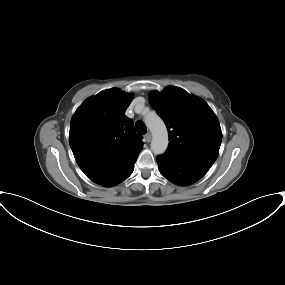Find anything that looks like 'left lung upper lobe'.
Returning <instances> with one entry per match:
<instances>
[{
	"label": "left lung upper lobe",
	"instance_id": "5c2ea615",
	"mask_svg": "<svg viewBox=\"0 0 285 285\" xmlns=\"http://www.w3.org/2000/svg\"><path fill=\"white\" fill-rule=\"evenodd\" d=\"M149 102L168 129L170 143L165 154L210 168L218 156L222 132L208 104L173 86L152 92Z\"/></svg>",
	"mask_w": 285,
	"mask_h": 285
}]
</instances>
